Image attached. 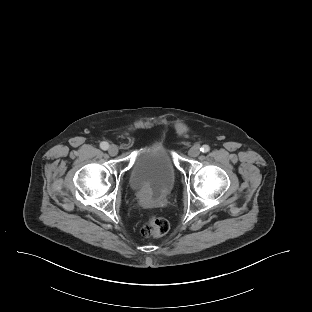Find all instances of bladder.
Instances as JSON below:
<instances>
[{"label":"bladder","instance_id":"1","mask_svg":"<svg viewBox=\"0 0 312 312\" xmlns=\"http://www.w3.org/2000/svg\"><path fill=\"white\" fill-rule=\"evenodd\" d=\"M176 179L177 168L162 140L148 143L138 153L129 173V184L133 190H146L156 195L168 193Z\"/></svg>","mask_w":312,"mask_h":312}]
</instances>
